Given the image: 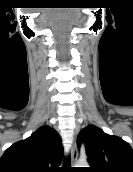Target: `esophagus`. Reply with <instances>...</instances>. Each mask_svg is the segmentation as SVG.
<instances>
[{"label": "esophagus", "instance_id": "esophagus-1", "mask_svg": "<svg viewBox=\"0 0 133 172\" xmlns=\"http://www.w3.org/2000/svg\"><path fill=\"white\" fill-rule=\"evenodd\" d=\"M77 158H78V150L76 147V143L74 142L71 147V164L72 165H75Z\"/></svg>", "mask_w": 133, "mask_h": 172}]
</instances>
